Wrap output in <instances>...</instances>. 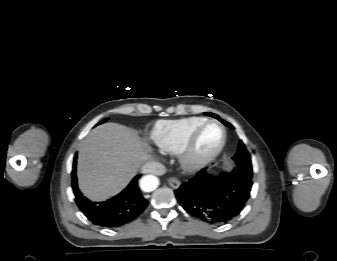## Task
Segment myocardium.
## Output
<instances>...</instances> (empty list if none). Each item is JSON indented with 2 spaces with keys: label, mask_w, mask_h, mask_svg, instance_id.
<instances>
[{
  "label": "myocardium",
  "mask_w": 337,
  "mask_h": 261,
  "mask_svg": "<svg viewBox=\"0 0 337 261\" xmlns=\"http://www.w3.org/2000/svg\"><path fill=\"white\" fill-rule=\"evenodd\" d=\"M209 125H217L221 131V139L219 144L209 153L198 156L195 153V145L200 133ZM226 130L224 126L217 120H206L195 128L189 135L183 149L180 152V161L182 166L189 171H197L205 168L222 152L226 144Z\"/></svg>",
  "instance_id": "f54148a6"
}]
</instances>
